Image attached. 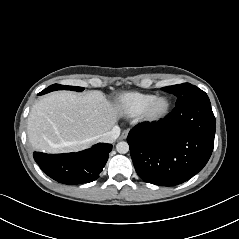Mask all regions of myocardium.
I'll return each mask as SVG.
<instances>
[{"label":"myocardium","mask_w":239,"mask_h":239,"mask_svg":"<svg viewBox=\"0 0 239 239\" xmlns=\"http://www.w3.org/2000/svg\"><path fill=\"white\" fill-rule=\"evenodd\" d=\"M158 103H163L160 111L155 112L154 108ZM171 109L170 100L166 96H154L142 109L140 118L149 124H155L165 119Z\"/></svg>","instance_id":"1"}]
</instances>
